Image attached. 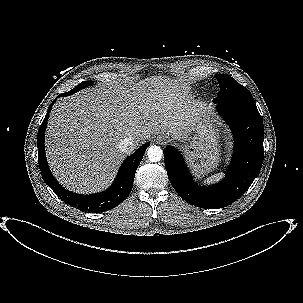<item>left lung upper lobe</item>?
Returning a JSON list of instances; mask_svg holds the SVG:
<instances>
[{"instance_id": "obj_1", "label": "left lung upper lobe", "mask_w": 303, "mask_h": 303, "mask_svg": "<svg viewBox=\"0 0 303 303\" xmlns=\"http://www.w3.org/2000/svg\"><path fill=\"white\" fill-rule=\"evenodd\" d=\"M215 79L219 84L220 91L214 102L221 101H250L254 102L252 94L241 84L236 82L231 76L216 74Z\"/></svg>"}]
</instances>
